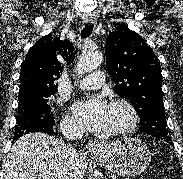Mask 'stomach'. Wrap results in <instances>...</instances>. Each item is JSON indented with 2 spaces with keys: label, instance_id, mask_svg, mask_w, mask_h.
Masks as SVG:
<instances>
[{
  "label": "stomach",
  "instance_id": "0dacf381",
  "mask_svg": "<svg viewBox=\"0 0 183 179\" xmlns=\"http://www.w3.org/2000/svg\"><path fill=\"white\" fill-rule=\"evenodd\" d=\"M94 155L104 168L126 177L140 174L151 161L147 145L138 138H122L102 144Z\"/></svg>",
  "mask_w": 183,
  "mask_h": 179
}]
</instances>
